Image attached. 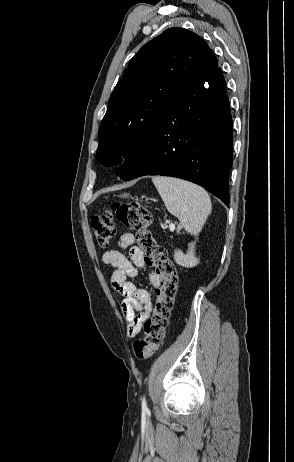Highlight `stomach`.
I'll list each match as a JSON object with an SVG mask.
<instances>
[{
	"label": "stomach",
	"instance_id": "obj_1",
	"mask_svg": "<svg viewBox=\"0 0 294 462\" xmlns=\"http://www.w3.org/2000/svg\"><path fill=\"white\" fill-rule=\"evenodd\" d=\"M123 196H124V197H126L127 195H126V194H124Z\"/></svg>",
	"mask_w": 294,
	"mask_h": 462
}]
</instances>
